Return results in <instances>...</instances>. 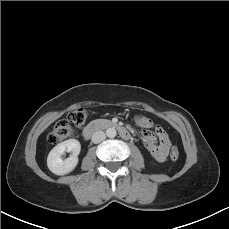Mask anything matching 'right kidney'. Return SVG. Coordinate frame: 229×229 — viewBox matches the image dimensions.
Returning a JSON list of instances; mask_svg holds the SVG:
<instances>
[{"mask_svg": "<svg viewBox=\"0 0 229 229\" xmlns=\"http://www.w3.org/2000/svg\"><path fill=\"white\" fill-rule=\"evenodd\" d=\"M81 150L80 142L76 139H69L56 145L48 154L47 166L56 175H65L74 170L78 164V155ZM72 154L65 160L61 158L64 152Z\"/></svg>", "mask_w": 229, "mask_h": 229, "instance_id": "right-kidney-1", "label": "right kidney"}]
</instances>
